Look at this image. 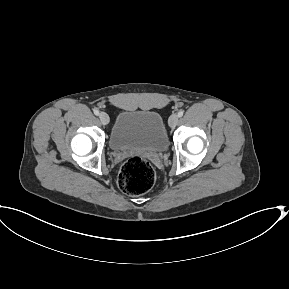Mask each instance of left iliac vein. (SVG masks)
<instances>
[{
	"label": "left iliac vein",
	"mask_w": 289,
	"mask_h": 289,
	"mask_svg": "<svg viewBox=\"0 0 289 289\" xmlns=\"http://www.w3.org/2000/svg\"><path fill=\"white\" fill-rule=\"evenodd\" d=\"M179 118L177 114H172L169 117L168 123L171 128H174L178 124Z\"/></svg>",
	"instance_id": "1"
}]
</instances>
